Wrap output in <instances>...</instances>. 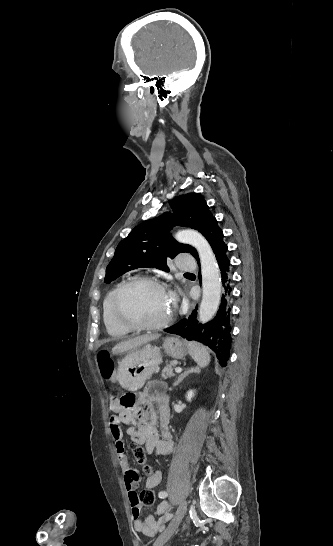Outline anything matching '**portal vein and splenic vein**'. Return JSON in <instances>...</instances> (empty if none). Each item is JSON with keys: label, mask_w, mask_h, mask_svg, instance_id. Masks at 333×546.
<instances>
[{"label": "portal vein and splenic vein", "mask_w": 333, "mask_h": 546, "mask_svg": "<svg viewBox=\"0 0 333 546\" xmlns=\"http://www.w3.org/2000/svg\"><path fill=\"white\" fill-rule=\"evenodd\" d=\"M175 372H176V373H181V372H182V368H180V367L175 368Z\"/></svg>", "instance_id": "1"}]
</instances>
